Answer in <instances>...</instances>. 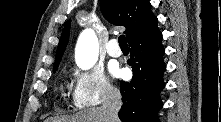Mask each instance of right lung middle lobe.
<instances>
[{
	"mask_svg": "<svg viewBox=\"0 0 221 122\" xmlns=\"http://www.w3.org/2000/svg\"><path fill=\"white\" fill-rule=\"evenodd\" d=\"M57 70V68H54V72Z\"/></svg>",
	"mask_w": 221,
	"mask_h": 122,
	"instance_id": "dd1d6c3e",
	"label": "right lung middle lobe"
}]
</instances>
